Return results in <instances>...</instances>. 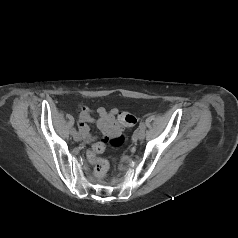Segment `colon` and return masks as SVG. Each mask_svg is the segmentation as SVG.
<instances>
[{"mask_svg": "<svg viewBox=\"0 0 238 238\" xmlns=\"http://www.w3.org/2000/svg\"><path fill=\"white\" fill-rule=\"evenodd\" d=\"M117 120L120 124L128 127L133 126L136 123V118L125 112L118 115ZM122 142V138L112 140L114 145H118ZM105 149L104 143H100L92 148L88 153V159L94 163V173L98 178L104 177L109 169V163L107 160L97 157L98 154L102 153Z\"/></svg>", "mask_w": 238, "mask_h": 238, "instance_id": "colon-1", "label": "colon"}]
</instances>
